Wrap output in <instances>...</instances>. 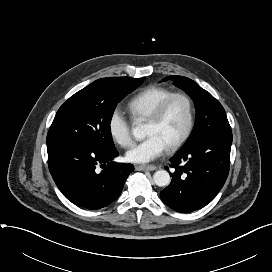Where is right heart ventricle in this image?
Listing matches in <instances>:
<instances>
[{"label": "right heart ventricle", "mask_w": 272, "mask_h": 272, "mask_svg": "<svg viewBox=\"0 0 272 272\" xmlns=\"http://www.w3.org/2000/svg\"><path fill=\"white\" fill-rule=\"evenodd\" d=\"M173 91L162 86H149L135 94L127 108L135 121L147 120L157 105Z\"/></svg>", "instance_id": "right-heart-ventricle-1"}]
</instances>
